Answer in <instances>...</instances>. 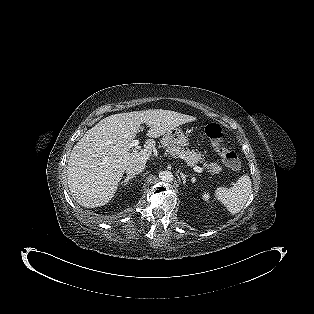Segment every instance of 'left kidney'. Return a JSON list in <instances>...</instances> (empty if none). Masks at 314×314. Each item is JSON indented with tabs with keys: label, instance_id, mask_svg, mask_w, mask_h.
<instances>
[{
	"label": "left kidney",
	"instance_id": "5707ae66",
	"mask_svg": "<svg viewBox=\"0 0 314 314\" xmlns=\"http://www.w3.org/2000/svg\"><path fill=\"white\" fill-rule=\"evenodd\" d=\"M203 197H204L205 200L209 199V195L208 194H204Z\"/></svg>",
	"mask_w": 314,
	"mask_h": 314
}]
</instances>
